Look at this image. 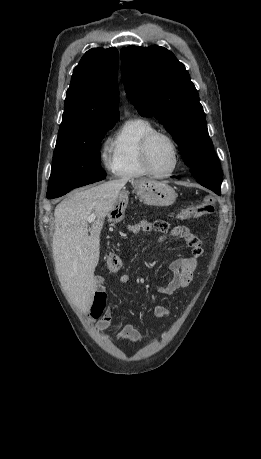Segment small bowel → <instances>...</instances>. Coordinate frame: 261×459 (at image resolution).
<instances>
[{
    "instance_id": "obj_1",
    "label": "small bowel",
    "mask_w": 261,
    "mask_h": 459,
    "mask_svg": "<svg viewBox=\"0 0 261 459\" xmlns=\"http://www.w3.org/2000/svg\"><path fill=\"white\" fill-rule=\"evenodd\" d=\"M130 228L135 231H149L150 225L146 221H141L136 224L130 225ZM182 238L186 241L189 247L193 251V256L186 258H178L173 260L169 269L172 274V278L165 285L157 287L158 291L165 295H172L178 290L184 289L190 285L193 280L194 273L197 268V257L202 254V245L198 237H196L187 227L177 225L167 230L164 234L156 238V241L162 242L171 238ZM121 284H126L130 281L128 274H122L119 277ZM102 295L106 298V293L103 287V279H97V290L95 296ZM94 296V297H95ZM154 314L158 318H167L169 316V310L162 304L156 303L153 308ZM113 321L112 312L109 309H104L101 316L97 318L96 327L99 331L106 330ZM117 338L121 341H130L132 343H140L143 341L141 333L136 330L131 324L124 323L121 330L117 334Z\"/></svg>"
}]
</instances>
